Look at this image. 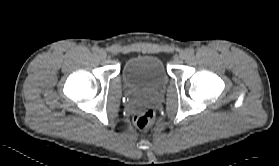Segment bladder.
<instances>
[{"mask_svg":"<svg viewBox=\"0 0 279 166\" xmlns=\"http://www.w3.org/2000/svg\"><path fill=\"white\" fill-rule=\"evenodd\" d=\"M125 86L135 94H155L165 87L168 76L162 61L154 56H136L122 66Z\"/></svg>","mask_w":279,"mask_h":166,"instance_id":"1","label":"bladder"}]
</instances>
